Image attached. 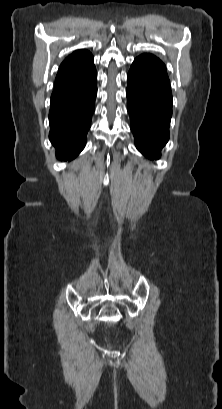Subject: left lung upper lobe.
Wrapping results in <instances>:
<instances>
[{
    "label": "left lung upper lobe",
    "instance_id": "5c2ea615",
    "mask_svg": "<svg viewBox=\"0 0 222 409\" xmlns=\"http://www.w3.org/2000/svg\"><path fill=\"white\" fill-rule=\"evenodd\" d=\"M131 70L150 75L169 83L164 63L152 54H142L138 56L134 60Z\"/></svg>",
    "mask_w": 222,
    "mask_h": 409
}]
</instances>
